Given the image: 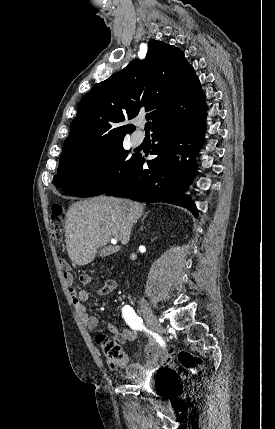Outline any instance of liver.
<instances>
[{
  "instance_id": "1",
  "label": "liver",
  "mask_w": 275,
  "mask_h": 429,
  "mask_svg": "<svg viewBox=\"0 0 275 429\" xmlns=\"http://www.w3.org/2000/svg\"><path fill=\"white\" fill-rule=\"evenodd\" d=\"M144 205L127 199L97 196L70 206L66 214L65 237L70 259L77 265L90 263L111 237L123 245L129 242L133 225Z\"/></svg>"
}]
</instances>
